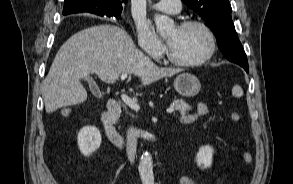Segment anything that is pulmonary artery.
Listing matches in <instances>:
<instances>
[{"instance_id": "e3ab8cb5", "label": "pulmonary artery", "mask_w": 293, "mask_h": 184, "mask_svg": "<svg viewBox=\"0 0 293 184\" xmlns=\"http://www.w3.org/2000/svg\"><path fill=\"white\" fill-rule=\"evenodd\" d=\"M153 8L165 13L177 14L181 11V1L180 0H160L159 2L153 5Z\"/></svg>"}]
</instances>
